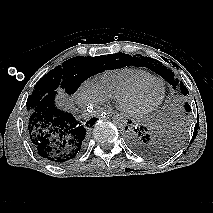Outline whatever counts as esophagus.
Wrapping results in <instances>:
<instances>
[{"label":"esophagus","instance_id":"1","mask_svg":"<svg viewBox=\"0 0 213 213\" xmlns=\"http://www.w3.org/2000/svg\"><path fill=\"white\" fill-rule=\"evenodd\" d=\"M115 114H116V112L114 110H111V109L108 110V111L102 112V115L105 116V117H111V116H113Z\"/></svg>","mask_w":213,"mask_h":213}]
</instances>
